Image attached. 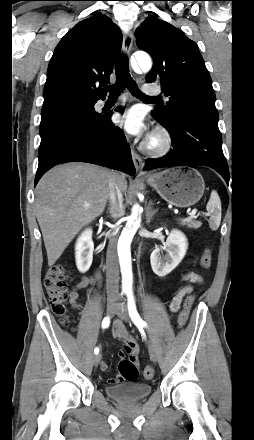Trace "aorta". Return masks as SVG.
Here are the masks:
<instances>
[{"instance_id": "aorta-1", "label": "aorta", "mask_w": 254, "mask_h": 440, "mask_svg": "<svg viewBox=\"0 0 254 440\" xmlns=\"http://www.w3.org/2000/svg\"><path fill=\"white\" fill-rule=\"evenodd\" d=\"M137 64L144 72H148L152 67V61L148 54L140 53L135 56ZM141 222L140 213H138V206L134 205L132 214L129 216L125 227L118 240L117 252L119 264L122 274V286L124 290H131L132 288V262L130 245L132 239L138 230Z\"/></svg>"}]
</instances>
